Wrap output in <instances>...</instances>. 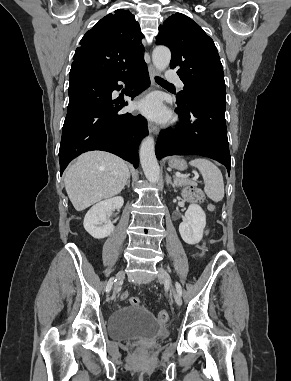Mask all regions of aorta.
<instances>
[{
  "label": "aorta",
  "instance_id": "aorta-1",
  "mask_svg": "<svg viewBox=\"0 0 291 381\" xmlns=\"http://www.w3.org/2000/svg\"><path fill=\"white\" fill-rule=\"evenodd\" d=\"M171 52L165 46H157L152 53V61L158 71L165 70L170 63ZM140 162L147 180L151 183L159 181L160 168L155 155V143L151 136L146 137L140 147Z\"/></svg>",
  "mask_w": 291,
  "mask_h": 381
}]
</instances>
